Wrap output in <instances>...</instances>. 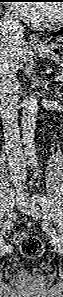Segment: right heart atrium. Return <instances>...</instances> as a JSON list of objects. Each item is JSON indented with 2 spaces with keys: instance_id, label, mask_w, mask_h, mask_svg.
Returning a JSON list of instances; mask_svg holds the SVG:
<instances>
[{
  "instance_id": "obj_1",
  "label": "right heart atrium",
  "mask_w": 63,
  "mask_h": 297,
  "mask_svg": "<svg viewBox=\"0 0 63 297\" xmlns=\"http://www.w3.org/2000/svg\"><path fill=\"white\" fill-rule=\"evenodd\" d=\"M9 18H11V19H15V18H16V14H14V13H9Z\"/></svg>"
}]
</instances>
